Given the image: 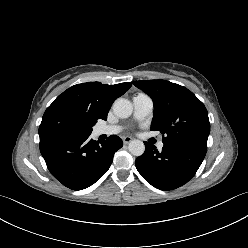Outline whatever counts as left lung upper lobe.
Listing matches in <instances>:
<instances>
[{"mask_svg": "<svg viewBox=\"0 0 248 248\" xmlns=\"http://www.w3.org/2000/svg\"><path fill=\"white\" fill-rule=\"evenodd\" d=\"M154 102L151 130L165 134L164 144L207 147L210 133L204 104L187 88L165 80L134 81Z\"/></svg>", "mask_w": 248, "mask_h": 248, "instance_id": "obj_1", "label": "left lung upper lobe"}]
</instances>
